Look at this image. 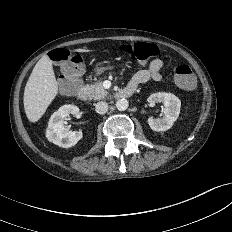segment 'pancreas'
<instances>
[{"label":"pancreas","instance_id":"pancreas-1","mask_svg":"<svg viewBox=\"0 0 232 232\" xmlns=\"http://www.w3.org/2000/svg\"><path fill=\"white\" fill-rule=\"evenodd\" d=\"M86 90L88 91L89 98L94 100L104 99L108 95V92L104 89L101 81L93 85H86Z\"/></svg>","mask_w":232,"mask_h":232}]
</instances>
